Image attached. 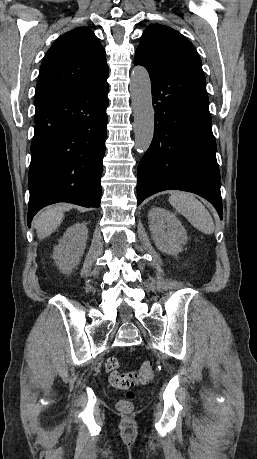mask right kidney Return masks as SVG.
<instances>
[{
    "label": "right kidney",
    "mask_w": 257,
    "mask_h": 459,
    "mask_svg": "<svg viewBox=\"0 0 257 459\" xmlns=\"http://www.w3.org/2000/svg\"><path fill=\"white\" fill-rule=\"evenodd\" d=\"M87 238L85 223H76L66 230L53 252V259L62 273H70L79 264Z\"/></svg>",
    "instance_id": "ca27d5eb"
}]
</instances>
